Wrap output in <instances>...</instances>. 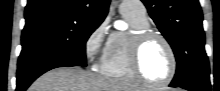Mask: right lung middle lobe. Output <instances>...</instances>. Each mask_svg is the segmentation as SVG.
Returning <instances> with one entry per match:
<instances>
[{
  "mask_svg": "<svg viewBox=\"0 0 220 91\" xmlns=\"http://www.w3.org/2000/svg\"><path fill=\"white\" fill-rule=\"evenodd\" d=\"M101 23L58 17L25 25L18 65L44 57L59 56L86 66L85 43Z\"/></svg>",
  "mask_w": 220,
  "mask_h": 91,
  "instance_id": "dd1d6c3e",
  "label": "right lung middle lobe"
}]
</instances>
